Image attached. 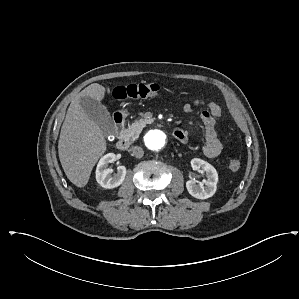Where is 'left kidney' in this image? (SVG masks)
Returning <instances> with one entry per match:
<instances>
[{
	"instance_id": "left-kidney-1",
	"label": "left kidney",
	"mask_w": 299,
	"mask_h": 299,
	"mask_svg": "<svg viewBox=\"0 0 299 299\" xmlns=\"http://www.w3.org/2000/svg\"><path fill=\"white\" fill-rule=\"evenodd\" d=\"M191 166L193 170H202L207 179L203 180L200 184H197L195 180H188L186 188L189 194L202 200L212 197L217 189L218 173L216 169L208 162L199 158L192 159Z\"/></svg>"
}]
</instances>
